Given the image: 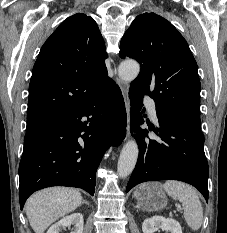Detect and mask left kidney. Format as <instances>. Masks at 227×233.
Returning a JSON list of instances; mask_svg holds the SVG:
<instances>
[{"label": "left kidney", "instance_id": "1", "mask_svg": "<svg viewBox=\"0 0 227 233\" xmlns=\"http://www.w3.org/2000/svg\"><path fill=\"white\" fill-rule=\"evenodd\" d=\"M158 229L170 231L171 233H182V228L178 221L162 216H154L144 220L142 224L143 233H154Z\"/></svg>", "mask_w": 227, "mask_h": 233}]
</instances>
